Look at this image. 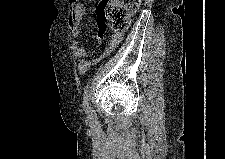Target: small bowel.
Returning a JSON list of instances; mask_svg holds the SVG:
<instances>
[{"label": "small bowel", "mask_w": 225, "mask_h": 159, "mask_svg": "<svg viewBox=\"0 0 225 159\" xmlns=\"http://www.w3.org/2000/svg\"><path fill=\"white\" fill-rule=\"evenodd\" d=\"M83 15H84L83 5L81 3L73 5L69 17V27L71 35L73 37L72 40L70 41V49L74 57L77 59L76 66L80 74H85L90 69L91 65L94 62L99 60L101 57H104L109 53H111L121 40V37L116 38L115 36L112 35L108 46L102 52V54L99 57L93 59V61H90L89 58L93 55V52L87 51L83 47L79 46L78 43L81 34L79 25L83 18ZM105 34L106 28H102L98 23L97 39L99 43L104 39ZM111 41H113V43Z\"/></svg>", "instance_id": "1"}]
</instances>
